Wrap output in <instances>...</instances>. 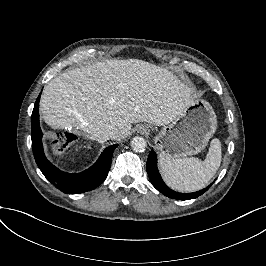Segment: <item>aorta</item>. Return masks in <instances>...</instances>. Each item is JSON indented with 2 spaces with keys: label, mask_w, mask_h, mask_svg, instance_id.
Segmentation results:
<instances>
[{
  "label": "aorta",
  "mask_w": 266,
  "mask_h": 266,
  "mask_svg": "<svg viewBox=\"0 0 266 266\" xmlns=\"http://www.w3.org/2000/svg\"><path fill=\"white\" fill-rule=\"evenodd\" d=\"M131 147L135 152H144L147 146L146 140L143 137L135 136L131 142Z\"/></svg>",
  "instance_id": "aorta-1"
}]
</instances>
